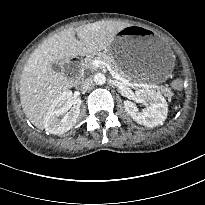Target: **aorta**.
Listing matches in <instances>:
<instances>
[{
    "label": "aorta",
    "mask_w": 205,
    "mask_h": 205,
    "mask_svg": "<svg viewBox=\"0 0 205 205\" xmlns=\"http://www.w3.org/2000/svg\"><path fill=\"white\" fill-rule=\"evenodd\" d=\"M94 82L98 85H102L106 82V77L103 73H96L94 75Z\"/></svg>",
    "instance_id": "1"
}]
</instances>
